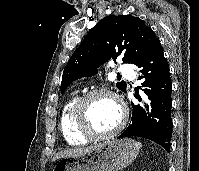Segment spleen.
<instances>
[{
    "label": "spleen",
    "instance_id": "1",
    "mask_svg": "<svg viewBox=\"0 0 199 171\" xmlns=\"http://www.w3.org/2000/svg\"><path fill=\"white\" fill-rule=\"evenodd\" d=\"M136 144H137V146H138L139 148L142 147V144H141V143L136 142Z\"/></svg>",
    "mask_w": 199,
    "mask_h": 171
}]
</instances>
